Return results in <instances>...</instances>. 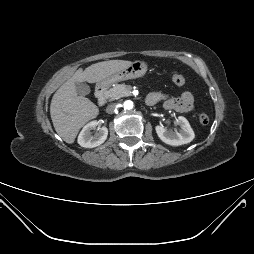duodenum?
<instances>
[{"label": "duodenum", "instance_id": "duodenum-1", "mask_svg": "<svg viewBox=\"0 0 254 254\" xmlns=\"http://www.w3.org/2000/svg\"><path fill=\"white\" fill-rule=\"evenodd\" d=\"M106 91H107L106 86L102 84L96 88L95 96L97 98V102L99 106H103L106 103ZM146 103L148 105H151V103L147 99H146Z\"/></svg>", "mask_w": 254, "mask_h": 254}]
</instances>
